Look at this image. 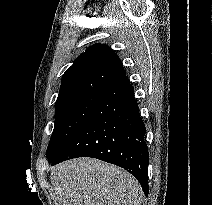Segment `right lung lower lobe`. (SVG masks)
Wrapping results in <instances>:
<instances>
[{
  "mask_svg": "<svg viewBox=\"0 0 212 205\" xmlns=\"http://www.w3.org/2000/svg\"><path fill=\"white\" fill-rule=\"evenodd\" d=\"M145 125L128 77L106 89L93 113L80 127L52 165L76 157H94L130 172L148 195V148Z\"/></svg>",
  "mask_w": 212,
  "mask_h": 205,
  "instance_id": "1",
  "label": "right lung lower lobe"
}]
</instances>
